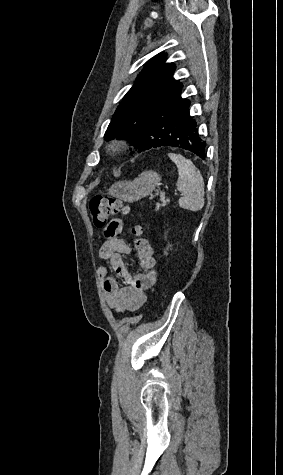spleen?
I'll return each instance as SVG.
<instances>
[{
	"mask_svg": "<svg viewBox=\"0 0 283 475\" xmlns=\"http://www.w3.org/2000/svg\"><path fill=\"white\" fill-rule=\"evenodd\" d=\"M178 170L177 190L182 192L183 198L178 200L180 208L198 212L202 210L204 202V180L191 160H186L180 154H168Z\"/></svg>",
	"mask_w": 283,
	"mask_h": 475,
	"instance_id": "spleen-1",
	"label": "spleen"
}]
</instances>
